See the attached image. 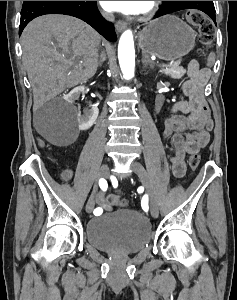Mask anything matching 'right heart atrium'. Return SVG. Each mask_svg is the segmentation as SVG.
Here are the masks:
<instances>
[{
	"label": "right heart atrium",
	"mask_w": 237,
	"mask_h": 300,
	"mask_svg": "<svg viewBox=\"0 0 237 300\" xmlns=\"http://www.w3.org/2000/svg\"><path fill=\"white\" fill-rule=\"evenodd\" d=\"M101 16H102V18L105 19V20H109V19H110V16H109L107 13H105V12H102V13H101Z\"/></svg>",
	"instance_id": "d8ad5b80"
}]
</instances>
